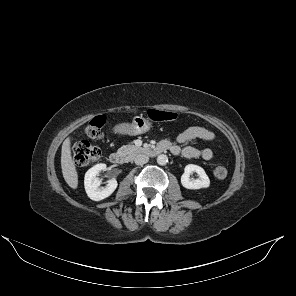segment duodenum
Returning a JSON list of instances; mask_svg holds the SVG:
<instances>
[{
	"instance_id": "410a0bca",
	"label": "duodenum",
	"mask_w": 296,
	"mask_h": 296,
	"mask_svg": "<svg viewBox=\"0 0 296 296\" xmlns=\"http://www.w3.org/2000/svg\"><path fill=\"white\" fill-rule=\"evenodd\" d=\"M167 150H168L167 146L158 145L156 147H151V148L145 149V153L150 156H155V155H158V154H160L164 151H167ZM109 160L114 165H122L125 163L126 156L121 152H112L109 155Z\"/></svg>"
}]
</instances>
